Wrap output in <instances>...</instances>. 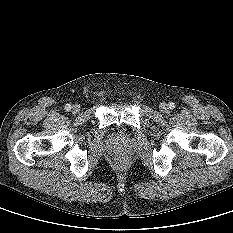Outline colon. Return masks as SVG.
I'll return each instance as SVG.
<instances>
[{
	"mask_svg": "<svg viewBox=\"0 0 233 233\" xmlns=\"http://www.w3.org/2000/svg\"><path fill=\"white\" fill-rule=\"evenodd\" d=\"M117 163L119 164V165H124L125 164V159L124 158H119L118 160H117Z\"/></svg>",
	"mask_w": 233,
	"mask_h": 233,
	"instance_id": "obj_1",
	"label": "colon"
}]
</instances>
